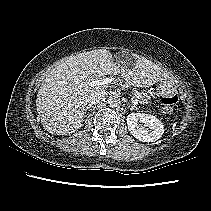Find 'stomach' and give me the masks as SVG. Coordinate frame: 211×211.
I'll list each match as a JSON object with an SVG mask.
<instances>
[{
    "mask_svg": "<svg viewBox=\"0 0 211 211\" xmlns=\"http://www.w3.org/2000/svg\"><path fill=\"white\" fill-rule=\"evenodd\" d=\"M126 58L127 57H119L118 61L126 60ZM135 66H136V63L133 65V67ZM133 86L137 87V85H133ZM159 89L161 90L162 93L172 92L175 90L174 82L171 79L161 81L159 84Z\"/></svg>",
    "mask_w": 211,
    "mask_h": 211,
    "instance_id": "1",
    "label": "stomach"
}]
</instances>
